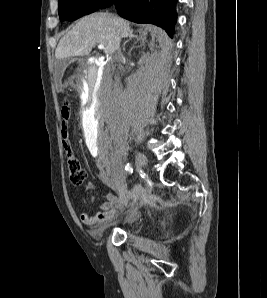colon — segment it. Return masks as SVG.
<instances>
[{
	"label": "colon",
	"instance_id": "colon-1",
	"mask_svg": "<svg viewBox=\"0 0 267 298\" xmlns=\"http://www.w3.org/2000/svg\"><path fill=\"white\" fill-rule=\"evenodd\" d=\"M63 134H64V131H63ZM63 143L68 156L67 165H68L70 182L73 185L80 186L84 183L87 177V173L84 167L82 166L81 162L76 157L73 156L70 143L66 138V136H63Z\"/></svg>",
	"mask_w": 267,
	"mask_h": 298
}]
</instances>
